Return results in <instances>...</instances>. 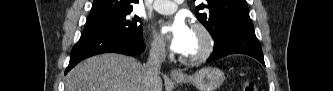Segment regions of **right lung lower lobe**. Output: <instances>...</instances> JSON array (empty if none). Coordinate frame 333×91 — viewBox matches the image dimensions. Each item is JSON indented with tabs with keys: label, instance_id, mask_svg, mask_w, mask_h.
<instances>
[{
	"label": "right lung lower lobe",
	"instance_id": "1",
	"mask_svg": "<svg viewBox=\"0 0 333 91\" xmlns=\"http://www.w3.org/2000/svg\"><path fill=\"white\" fill-rule=\"evenodd\" d=\"M145 49L142 37H132L119 32H83L74 46L65 74L77 63L93 55L115 52L138 55Z\"/></svg>",
	"mask_w": 333,
	"mask_h": 91
}]
</instances>
